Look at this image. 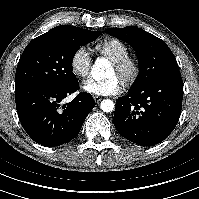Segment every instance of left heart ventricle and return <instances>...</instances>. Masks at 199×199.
<instances>
[{
    "instance_id": "1",
    "label": "left heart ventricle",
    "mask_w": 199,
    "mask_h": 199,
    "mask_svg": "<svg viewBox=\"0 0 199 199\" xmlns=\"http://www.w3.org/2000/svg\"><path fill=\"white\" fill-rule=\"evenodd\" d=\"M113 75H116V76H119L115 70V68L112 66L111 70L109 71L108 73V76H113Z\"/></svg>"
}]
</instances>
